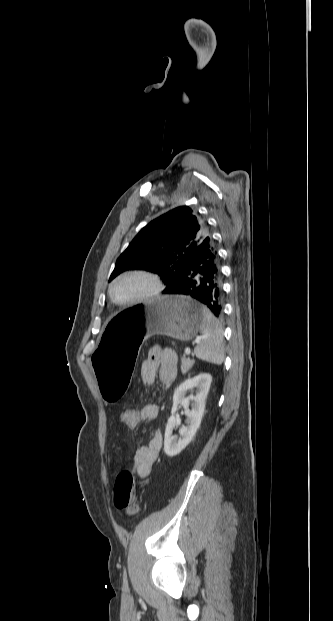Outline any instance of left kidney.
<instances>
[{
	"label": "left kidney",
	"mask_w": 333,
	"mask_h": 621,
	"mask_svg": "<svg viewBox=\"0 0 333 621\" xmlns=\"http://www.w3.org/2000/svg\"><path fill=\"white\" fill-rule=\"evenodd\" d=\"M211 381V375L203 373L194 378L185 380L175 390L171 416L166 425L164 439V451L168 456L172 457L177 455L191 442L200 426L204 414L205 400L210 389ZM193 388H196V394L186 397L187 391ZM179 405L183 406L187 420L186 426L179 429L181 439L177 440L176 436L173 435V429L176 425L175 413ZM189 406H191V409H189Z\"/></svg>",
	"instance_id": "left-kidney-1"
}]
</instances>
